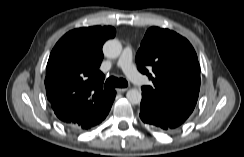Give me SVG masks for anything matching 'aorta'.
I'll return each mask as SVG.
<instances>
[{
  "mask_svg": "<svg viewBox=\"0 0 244 157\" xmlns=\"http://www.w3.org/2000/svg\"><path fill=\"white\" fill-rule=\"evenodd\" d=\"M122 52V45L117 39H111L105 42L103 53L107 58H117ZM128 101L132 104H139L142 99L141 92L138 89H130L126 93Z\"/></svg>",
  "mask_w": 244,
  "mask_h": 157,
  "instance_id": "762f6f07",
  "label": "aorta"
}]
</instances>
